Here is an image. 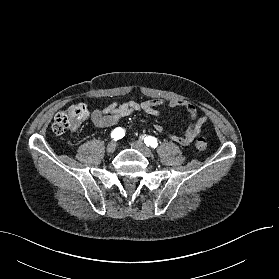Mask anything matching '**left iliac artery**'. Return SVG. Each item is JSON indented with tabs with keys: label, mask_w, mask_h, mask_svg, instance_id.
Returning a JSON list of instances; mask_svg holds the SVG:
<instances>
[{
	"label": "left iliac artery",
	"mask_w": 279,
	"mask_h": 279,
	"mask_svg": "<svg viewBox=\"0 0 279 279\" xmlns=\"http://www.w3.org/2000/svg\"><path fill=\"white\" fill-rule=\"evenodd\" d=\"M143 141L147 146H150L152 148H156L157 147V139L153 136H146L143 137Z\"/></svg>",
	"instance_id": "obj_1"
}]
</instances>
